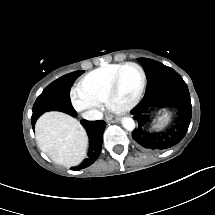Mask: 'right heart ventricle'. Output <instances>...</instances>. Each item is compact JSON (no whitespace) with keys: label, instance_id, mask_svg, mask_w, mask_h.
<instances>
[{"label":"right heart ventricle","instance_id":"obj_1","mask_svg":"<svg viewBox=\"0 0 215 215\" xmlns=\"http://www.w3.org/2000/svg\"><path fill=\"white\" fill-rule=\"evenodd\" d=\"M119 64H109L103 66L97 71H92L83 77L81 81V89L84 98L91 104H97L105 99L113 81L111 72L114 71Z\"/></svg>","mask_w":215,"mask_h":215}]
</instances>
